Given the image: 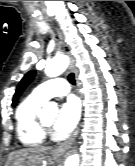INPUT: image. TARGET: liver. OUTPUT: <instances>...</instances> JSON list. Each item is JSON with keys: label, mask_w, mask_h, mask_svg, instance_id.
I'll return each mask as SVG.
<instances>
[{"label": "liver", "mask_w": 135, "mask_h": 166, "mask_svg": "<svg viewBox=\"0 0 135 166\" xmlns=\"http://www.w3.org/2000/svg\"><path fill=\"white\" fill-rule=\"evenodd\" d=\"M50 150L48 147H30L25 149H20L10 153L8 157V161L12 159L15 155L22 156L23 165H27L29 163L28 160L33 161L34 165H42L44 164V159L46 152Z\"/></svg>", "instance_id": "liver-1"}]
</instances>
